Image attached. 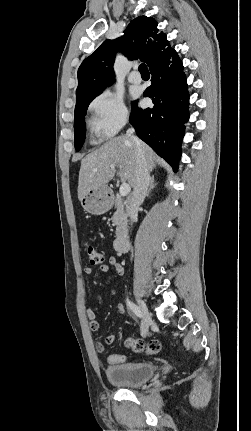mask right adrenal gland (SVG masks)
Wrapping results in <instances>:
<instances>
[{
	"label": "right adrenal gland",
	"mask_w": 251,
	"mask_h": 431,
	"mask_svg": "<svg viewBox=\"0 0 251 431\" xmlns=\"http://www.w3.org/2000/svg\"><path fill=\"white\" fill-rule=\"evenodd\" d=\"M157 185V183L155 182V176L154 175H152L151 177H150V184H149V188H148V191H147V194H146V196L148 197L149 196V194H150V192H151V190L153 189V188H155V186Z\"/></svg>",
	"instance_id": "right-adrenal-gland-1"
}]
</instances>
